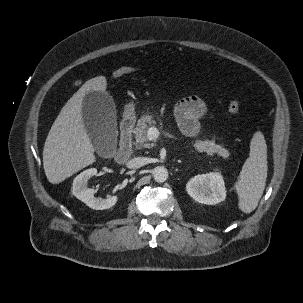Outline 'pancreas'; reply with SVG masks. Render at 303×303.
<instances>
[{
    "instance_id": "pancreas-1",
    "label": "pancreas",
    "mask_w": 303,
    "mask_h": 303,
    "mask_svg": "<svg viewBox=\"0 0 303 303\" xmlns=\"http://www.w3.org/2000/svg\"><path fill=\"white\" fill-rule=\"evenodd\" d=\"M156 121L151 115H143L137 122V127L134 130L135 146L137 149L150 148L148 143L147 131L150 126L155 125ZM193 146L198 152H206L210 155L217 153L219 156L227 158L229 152L222 145H217L214 140H196Z\"/></svg>"
}]
</instances>
